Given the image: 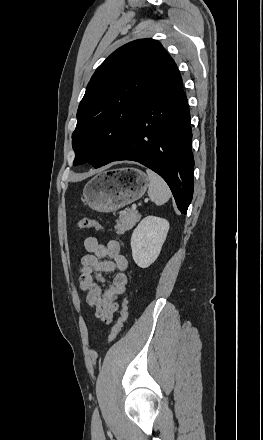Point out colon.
<instances>
[{"mask_svg":"<svg viewBox=\"0 0 263 440\" xmlns=\"http://www.w3.org/2000/svg\"><path fill=\"white\" fill-rule=\"evenodd\" d=\"M77 226L80 229H89V230H99L101 228L96 221L87 217L80 218L77 222ZM126 317H127L126 303L124 302L122 310L120 312V316L109 333L108 342H112L119 335V333L123 328Z\"/></svg>","mask_w":263,"mask_h":440,"instance_id":"obj_1","label":"colon"}]
</instances>
